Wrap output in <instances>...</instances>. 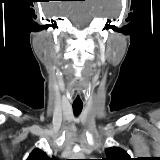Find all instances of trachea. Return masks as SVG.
Listing matches in <instances>:
<instances>
[{
  "label": "trachea",
  "instance_id": "obj_1",
  "mask_svg": "<svg viewBox=\"0 0 160 160\" xmlns=\"http://www.w3.org/2000/svg\"><path fill=\"white\" fill-rule=\"evenodd\" d=\"M72 107H73V112L76 116H78L83 109V105H73Z\"/></svg>",
  "mask_w": 160,
  "mask_h": 160
}]
</instances>
